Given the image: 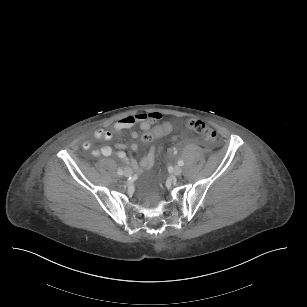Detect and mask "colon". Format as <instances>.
Listing matches in <instances>:
<instances>
[{"mask_svg": "<svg viewBox=\"0 0 307 307\" xmlns=\"http://www.w3.org/2000/svg\"><path fill=\"white\" fill-rule=\"evenodd\" d=\"M165 124H166L165 126H162L160 128H157V127L154 128L152 132L144 133L142 135V138L144 140L151 141L157 135L167 134L175 128V125L172 123L170 119H167L165 121ZM185 127L189 131H196V132L204 134L209 142H214L217 139V133L213 129L209 128L203 121L199 119L191 118V119L186 120Z\"/></svg>", "mask_w": 307, "mask_h": 307, "instance_id": "5ec220e1", "label": "colon"}]
</instances>
